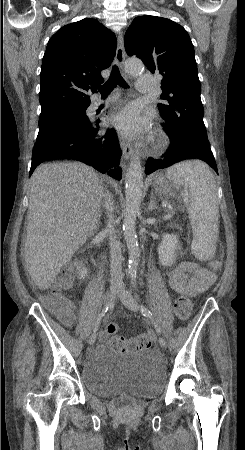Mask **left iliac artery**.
I'll return each instance as SVG.
<instances>
[{
    "label": "left iliac artery",
    "instance_id": "1",
    "mask_svg": "<svg viewBox=\"0 0 245 450\" xmlns=\"http://www.w3.org/2000/svg\"><path fill=\"white\" fill-rule=\"evenodd\" d=\"M132 283H133V279H132ZM140 311H141L142 315H143L145 318H149V319L152 320L156 332L160 334V332H161V331H160V327L158 326L157 322H156V321L154 320V318L152 317V313L150 312V310H149L147 307L141 305V306H140Z\"/></svg>",
    "mask_w": 245,
    "mask_h": 450
}]
</instances>
